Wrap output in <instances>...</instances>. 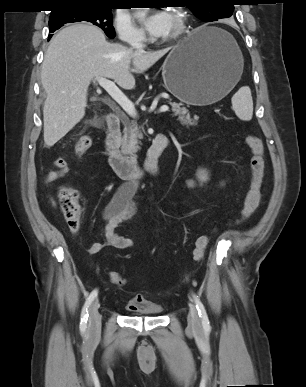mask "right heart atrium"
<instances>
[{
	"instance_id": "right-heart-atrium-1",
	"label": "right heart atrium",
	"mask_w": 306,
	"mask_h": 387,
	"mask_svg": "<svg viewBox=\"0 0 306 387\" xmlns=\"http://www.w3.org/2000/svg\"><path fill=\"white\" fill-rule=\"evenodd\" d=\"M114 27L119 39L127 44H138L145 39L143 31L134 24L127 14H118L114 20Z\"/></svg>"
}]
</instances>
